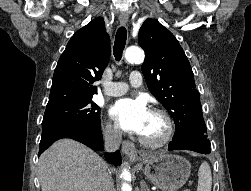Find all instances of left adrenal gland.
I'll return each instance as SVG.
<instances>
[{
  "label": "left adrenal gland",
  "mask_w": 251,
  "mask_h": 191,
  "mask_svg": "<svg viewBox=\"0 0 251 191\" xmlns=\"http://www.w3.org/2000/svg\"><path fill=\"white\" fill-rule=\"evenodd\" d=\"M141 187H142L141 191H150V189H149V187H147L144 179H142V181H141Z\"/></svg>",
  "instance_id": "obj_1"
}]
</instances>
